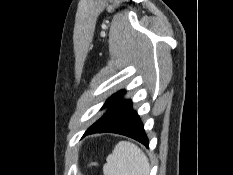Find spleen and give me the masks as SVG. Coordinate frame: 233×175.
Instances as JSON below:
<instances>
[{
	"label": "spleen",
	"instance_id": "obj_1",
	"mask_svg": "<svg viewBox=\"0 0 233 175\" xmlns=\"http://www.w3.org/2000/svg\"><path fill=\"white\" fill-rule=\"evenodd\" d=\"M103 166L104 175H149L150 166L147 157L136 145L119 142Z\"/></svg>",
	"mask_w": 233,
	"mask_h": 175
}]
</instances>
